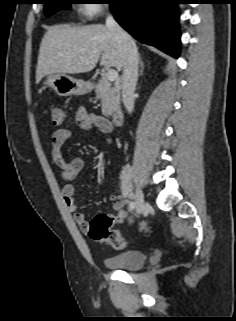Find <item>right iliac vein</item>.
Returning a JSON list of instances; mask_svg holds the SVG:
<instances>
[{
	"instance_id": "obj_1",
	"label": "right iliac vein",
	"mask_w": 236,
	"mask_h": 321,
	"mask_svg": "<svg viewBox=\"0 0 236 321\" xmlns=\"http://www.w3.org/2000/svg\"><path fill=\"white\" fill-rule=\"evenodd\" d=\"M135 208L138 214H142L146 209V202L143 193L140 188H138L134 194Z\"/></svg>"
}]
</instances>
